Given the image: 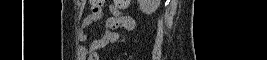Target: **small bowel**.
<instances>
[{"instance_id": "small-bowel-1", "label": "small bowel", "mask_w": 267, "mask_h": 60, "mask_svg": "<svg viewBox=\"0 0 267 60\" xmlns=\"http://www.w3.org/2000/svg\"><path fill=\"white\" fill-rule=\"evenodd\" d=\"M128 5L125 4L122 7H119L117 4H104L102 9L97 13H92L88 16H86L82 21V26L79 31V36L82 40H85L87 38V29L89 26H91L93 23L97 22L103 14V9L107 8L109 11L113 14L112 17H109L106 20L105 23V31L104 33L92 40L85 48L84 52L91 56H96L98 52L107 46L110 43H116L120 39L119 32L116 31L115 28H112L110 23L113 21H120L124 23L123 28L126 30H132L133 29V19L129 16H126L123 14L122 10Z\"/></svg>"}]
</instances>
